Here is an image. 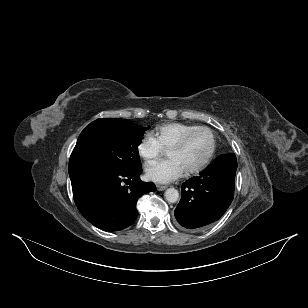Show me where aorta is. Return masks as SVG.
I'll list each match as a JSON object with an SVG mask.
<instances>
[{
	"instance_id": "aorta-1",
	"label": "aorta",
	"mask_w": 308,
	"mask_h": 308,
	"mask_svg": "<svg viewBox=\"0 0 308 308\" xmlns=\"http://www.w3.org/2000/svg\"><path fill=\"white\" fill-rule=\"evenodd\" d=\"M165 199L170 203H175L178 201L179 192L175 188H169L165 191Z\"/></svg>"
}]
</instances>
